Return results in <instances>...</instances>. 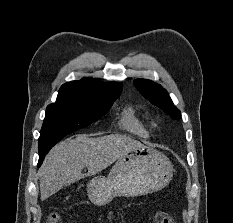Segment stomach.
I'll return each instance as SVG.
<instances>
[{"mask_svg": "<svg viewBox=\"0 0 233 223\" xmlns=\"http://www.w3.org/2000/svg\"><path fill=\"white\" fill-rule=\"evenodd\" d=\"M173 177V167L161 151L140 143L123 153L108 175L89 179L87 197L94 205H107L114 197H138L165 187Z\"/></svg>", "mask_w": 233, "mask_h": 223, "instance_id": "0dacf381", "label": "stomach"}]
</instances>
